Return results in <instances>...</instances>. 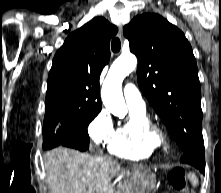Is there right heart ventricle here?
I'll return each instance as SVG.
<instances>
[{
  "label": "right heart ventricle",
  "instance_id": "obj_1",
  "mask_svg": "<svg viewBox=\"0 0 221 193\" xmlns=\"http://www.w3.org/2000/svg\"><path fill=\"white\" fill-rule=\"evenodd\" d=\"M147 120L145 111L131 109V119L118 126L108 143L109 153L125 159H140L155 153L158 145L143 129Z\"/></svg>",
  "mask_w": 221,
  "mask_h": 193
}]
</instances>
